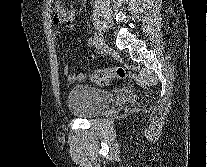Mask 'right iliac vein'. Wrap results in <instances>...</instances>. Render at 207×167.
Returning a JSON list of instances; mask_svg holds the SVG:
<instances>
[{
	"label": "right iliac vein",
	"instance_id": "63e3f726",
	"mask_svg": "<svg viewBox=\"0 0 207 167\" xmlns=\"http://www.w3.org/2000/svg\"><path fill=\"white\" fill-rule=\"evenodd\" d=\"M94 39H95L96 51L98 53L102 52L105 48V42H104L103 34L100 30L95 34Z\"/></svg>",
	"mask_w": 207,
	"mask_h": 167
}]
</instances>
